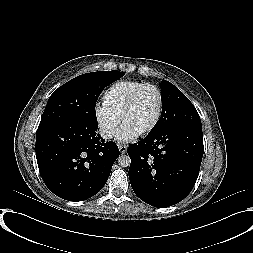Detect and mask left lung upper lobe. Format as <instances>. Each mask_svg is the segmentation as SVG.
Masks as SVG:
<instances>
[{
	"mask_svg": "<svg viewBox=\"0 0 253 253\" xmlns=\"http://www.w3.org/2000/svg\"><path fill=\"white\" fill-rule=\"evenodd\" d=\"M162 113L149 132L155 134L182 126L201 127L199 114L190 100L172 83L162 80Z\"/></svg>",
	"mask_w": 253,
	"mask_h": 253,
	"instance_id": "obj_1",
	"label": "left lung upper lobe"
}]
</instances>
